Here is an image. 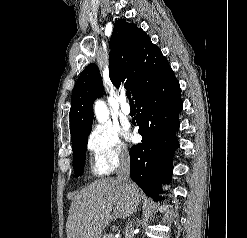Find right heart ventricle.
<instances>
[{"instance_id": "1", "label": "right heart ventricle", "mask_w": 247, "mask_h": 238, "mask_svg": "<svg viewBox=\"0 0 247 238\" xmlns=\"http://www.w3.org/2000/svg\"><path fill=\"white\" fill-rule=\"evenodd\" d=\"M91 171L95 175H102L106 173L103 169H101L96 163L91 164Z\"/></svg>"}]
</instances>
